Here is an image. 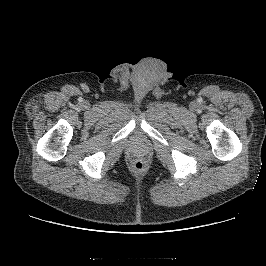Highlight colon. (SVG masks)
Instances as JSON below:
<instances>
[{
  "label": "colon",
  "instance_id": "colon-1",
  "mask_svg": "<svg viewBox=\"0 0 266 266\" xmlns=\"http://www.w3.org/2000/svg\"><path fill=\"white\" fill-rule=\"evenodd\" d=\"M133 169L136 171V172H142L144 169H145V164L143 161L141 160H136L134 163H133Z\"/></svg>",
  "mask_w": 266,
  "mask_h": 266
}]
</instances>
